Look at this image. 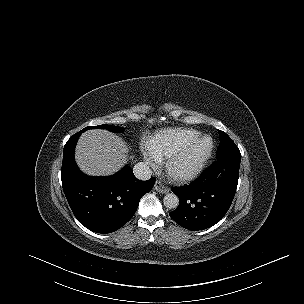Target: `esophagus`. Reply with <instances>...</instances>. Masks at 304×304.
<instances>
[{"label": "esophagus", "instance_id": "obj_1", "mask_svg": "<svg viewBox=\"0 0 304 304\" xmlns=\"http://www.w3.org/2000/svg\"><path fill=\"white\" fill-rule=\"evenodd\" d=\"M154 189L159 193H168L169 188L162 184L160 181H156L154 185Z\"/></svg>", "mask_w": 304, "mask_h": 304}]
</instances>
